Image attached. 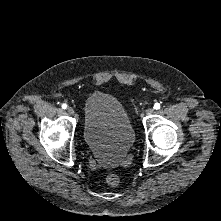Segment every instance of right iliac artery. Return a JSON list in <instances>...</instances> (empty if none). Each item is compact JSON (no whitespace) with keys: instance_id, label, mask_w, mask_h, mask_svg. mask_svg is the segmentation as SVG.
I'll list each match as a JSON object with an SVG mask.
<instances>
[{"instance_id":"obj_1","label":"right iliac artery","mask_w":221,"mask_h":221,"mask_svg":"<svg viewBox=\"0 0 221 221\" xmlns=\"http://www.w3.org/2000/svg\"><path fill=\"white\" fill-rule=\"evenodd\" d=\"M62 108H63V109H66V108H67V105H66V104H63V105H62Z\"/></svg>"}]
</instances>
